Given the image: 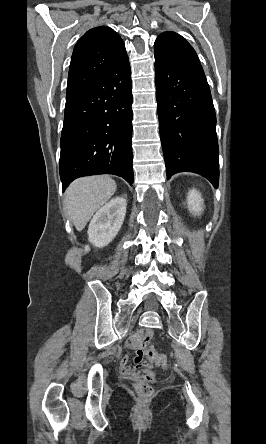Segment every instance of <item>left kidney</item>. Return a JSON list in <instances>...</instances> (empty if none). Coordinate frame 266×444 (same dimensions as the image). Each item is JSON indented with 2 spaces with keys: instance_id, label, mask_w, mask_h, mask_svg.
I'll return each instance as SVG.
<instances>
[{
  "instance_id": "obj_1",
  "label": "left kidney",
  "mask_w": 266,
  "mask_h": 444,
  "mask_svg": "<svg viewBox=\"0 0 266 444\" xmlns=\"http://www.w3.org/2000/svg\"><path fill=\"white\" fill-rule=\"evenodd\" d=\"M187 204L189 211L193 215H200L203 210V199L200 192L196 189H191L187 196Z\"/></svg>"
}]
</instances>
